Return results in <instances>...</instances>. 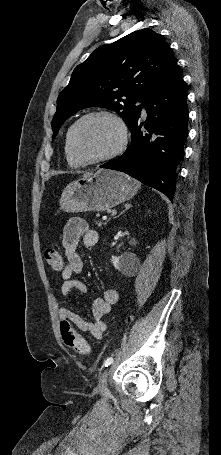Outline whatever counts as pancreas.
I'll return each mask as SVG.
<instances>
[{"label":"pancreas","instance_id":"cf45deb5","mask_svg":"<svg viewBox=\"0 0 221 455\" xmlns=\"http://www.w3.org/2000/svg\"><path fill=\"white\" fill-rule=\"evenodd\" d=\"M94 222H95V224H97L99 227H101L102 225H105V224H106V222H104V221H102V220H95Z\"/></svg>","mask_w":221,"mask_h":455}]
</instances>
